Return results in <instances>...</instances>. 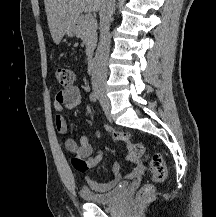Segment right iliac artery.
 Segmentation results:
<instances>
[{"mask_svg":"<svg viewBox=\"0 0 216 217\" xmlns=\"http://www.w3.org/2000/svg\"><path fill=\"white\" fill-rule=\"evenodd\" d=\"M97 95L95 94V92H92L91 94H90V100L92 101V102H96L97 101Z\"/></svg>","mask_w":216,"mask_h":217,"instance_id":"right-iliac-artery-1","label":"right iliac artery"}]
</instances>
